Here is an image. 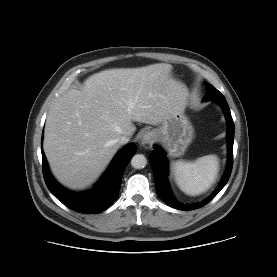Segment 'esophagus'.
Here are the masks:
<instances>
[{"label":"esophagus","instance_id":"34e87169","mask_svg":"<svg viewBox=\"0 0 277 277\" xmlns=\"http://www.w3.org/2000/svg\"><path fill=\"white\" fill-rule=\"evenodd\" d=\"M153 140H154V137H153L151 132L142 133L141 136H140V139H139L140 144L143 145V146L152 144Z\"/></svg>","mask_w":277,"mask_h":277}]
</instances>
